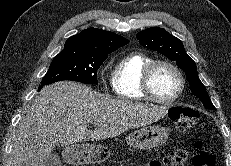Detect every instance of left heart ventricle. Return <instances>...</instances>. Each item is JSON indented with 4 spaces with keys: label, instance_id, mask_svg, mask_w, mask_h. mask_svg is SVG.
I'll return each mask as SVG.
<instances>
[{
    "label": "left heart ventricle",
    "instance_id": "b2bd125f",
    "mask_svg": "<svg viewBox=\"0 0 231 166\" xmlns=\"http://www.w3.org/2000/svg\"><path fill=\"white\" fill-rule=\"evenodd\" d=\"M151 86L157 97L168 99L178 90V77L171 68L160 65L155 68L152 74Z\"/></svg>",
    "mask_w": 231,
    "mask_h": 166
}]
</instances>
